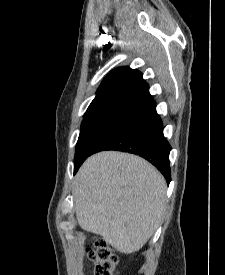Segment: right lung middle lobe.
Masks as SVG:
<instances>
[{"mask_svg": "<svg viewBox=\"0 0 225 275\" xmlns=\"http://www.w3.org/2000/svg\"><path fill=\"white\" fill-rule=\"evenodd\" d=\"M125 117L121 114H103L83 119L76 145L74 173L98 142Z\"/></svg>", "mask_w": 225, "mask_h": 275, "instance_id": "1", "label": "right lung middle lobe"}]
</instances>
